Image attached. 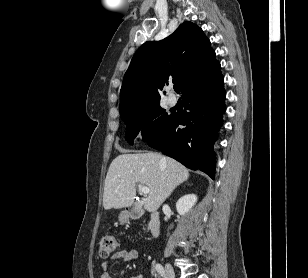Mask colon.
Masks as SVG:
<instances>
[{"instance_id":"obj_1","label":"colon","mask_w":308,"mask_h":278,"mask_svg":"<svg viewBox=\"0 0 308 278\" xmlns=\"http://www.w3.org/2000/svg\"><path fill=\"white\" fill-rule=\"evenodd\" d=\"M117 239L114 236H105L99 242V253L102 257H108L117 248Z\"/></svg>"}]
</instances>
